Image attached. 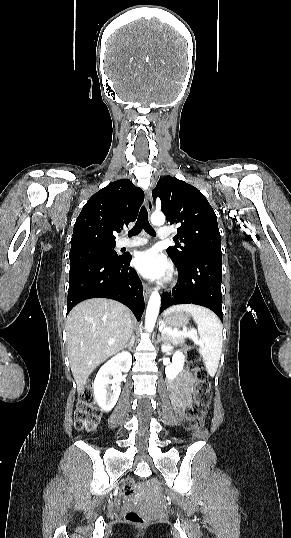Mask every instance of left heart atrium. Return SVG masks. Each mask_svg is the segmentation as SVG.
Masks as SVG:
<instances>
[{"instance_id": "left-heart-atrium-1", "label": "left heart atrium", "mask_w": 291, "mask_h": 538, "mask_svg": "<svg viewBox=\"0 0 291 538\" xmlns=\"http://www.w3.org/2000/svg\"><path fill=\"white\" fill-rule=\"evenodd\" d=\"M134 266L142 276L149 279L166 278L171 271L166 259L155 249L138 253L134 258Z\"/></svg>"}]
</instances>
